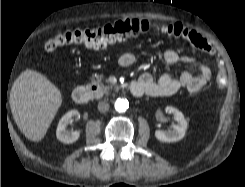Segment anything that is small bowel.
I'll return each instance as SVG.
<instances>
[{
    "label": "small bowel",
    "instance_id": "obj_1",
    "mask_svg": "<svg viewBox=\"0 0 245 187\" xmlns=\"http://www.w3.org/2000/svg\"><path fill=\"white\" fill-rule=\"evenodd\" d=\"M163 58L169 65L182 62L192 66V69L182 72L178 77L164 73L158 80H155L150 74H142L137 82L143 86L144 94L147 96H169L180 89L196 93L204 88L211 79L209 67L197 62L189 55H182L173 49H167L163 53ZM118 62L120 66L128 68L134 64L135 57L132 53L126 52L119 57Z\"/></svg>",
    "mask_w": 245,
    "mask_h": 187
}]
</instances>
